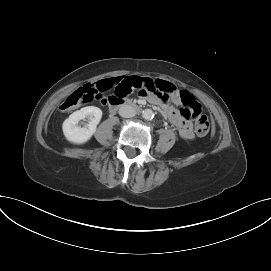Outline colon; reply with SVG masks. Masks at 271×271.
<instances>
[{"instance_id": "colon-1", "label": "colon", "mask_w": 271, "mask_h": 271, "mask_svg": "<svg viewBox=\"0 0 271 271\" xmlns=\"http://www.w3.org/2000/svg\"><path fill=\"white\" fill-rule=\"evenodd\" d=\"M159 89H165L159 86ZM115 95V94H114ZM114 95L109 97L114 98ZM97 91L84 86L71 93L60 105L62 111H70L81 104L90 102L94 98H98ZM179 104L181 105V115L185 120L195 121V131L199 136H205L210 130L208 117L202 112L201 106L194 96L188 91L179 92Z\"/></svg>"}]
</instances>
